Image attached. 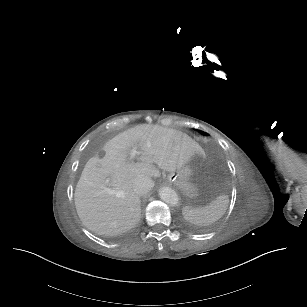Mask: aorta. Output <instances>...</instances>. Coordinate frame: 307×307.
<instances>
[{"label": "aorta", "mask_w": 307, "mask_h": 307, "mask_svg": "<svg viewBox=\"0 0 307 307\" xmlns=\"http://www.w3.org/2000/svg\"><path fill=\"white\" fill-rule=\"evenodd\" d=\"M159 196L166 203L176 204L178 201L177 193L167 186H163L159 189Z\"/></svg>", "instance_id": "762f6f07"}]
</instances>
